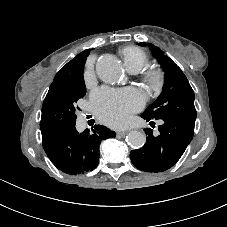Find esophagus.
I'll list each match as a JSON object with an SVG mask.
<instances>
[{
    "instance_id": "1",
    "label": "esophagus",
    "mask_w": 227,
    "mask_h": 227,
    "mask_svg": "<svg viewBox=\"0 0 227 227\" xmlns=\"http://www.w3.org/2000/svg\"><path fill=\"white\" fill-rule=\"evenodd\" d=\"M127 134V131H118L117 135L119 136H125Z\"/></svg>"
}]
</instances>
